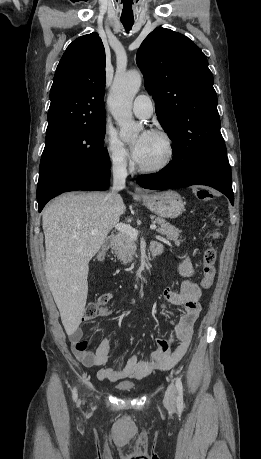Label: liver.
I'll return each mask as SVG.
<instances>
[{
    "mask_svg": "<svg viewBox=\"0 0 261 459\" xmlns=\"http://www.w3.org/2000/svg\"><path fill=\"white\" fill-rule=\"evenodd\" d=\"M125 210L123 200L113 207L108 193L91 192L62 195L43 212L46 280L68 336L84 315L89 262Z\"/></svg>",
    "mask_w": 261,
    "mask_h": 459,
    "instance_id": "obj_1",
    "label": "liver"
}]
</instances>
